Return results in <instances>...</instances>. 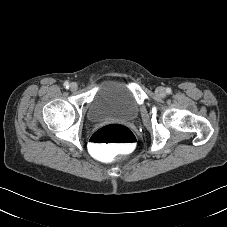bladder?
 <instances>
[{
  "instance_id": "31cf9c89",
  "label": "bladder",
  "mask_w": 227,
  "mask_h": 227,
  "mask_svg": "<svg viewBox=\"0 0 227 227\" xmlns=\"http://www.w3.org/2000/svg\"><path fill=\"white\" fill-rule=\"evenodd\" d=\"M139 106L132 93L116 81L99 88L86 111L90 122L130 121L136 118Z\"/></svg>"
}]
</instances>
